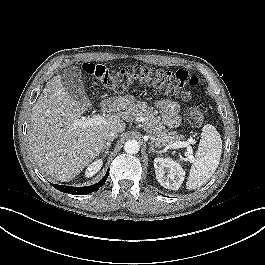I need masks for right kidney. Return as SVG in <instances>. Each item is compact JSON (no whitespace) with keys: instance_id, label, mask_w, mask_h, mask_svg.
<instances>
[{"instance_id":"obj_1","label":"right kidney","mask_w":265,"mask_h":265,"mask_svg":"<svg viewBox=\"0 0 265 265\" xmlns=\"http://www.w3.org/2000/svg\"><path fill=\"white\" fill-rule=\"evenodd\" d=\"M103 161L101 159H98L94 161L91 165L88 166L85 175L86 177H92L95 175L102 167Z\"/></svg>"}]
</instances>
